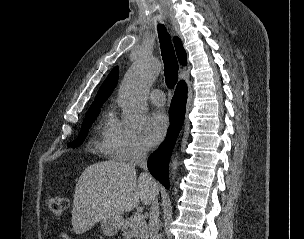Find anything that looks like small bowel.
<instances>
[{
  "instance_id": "small-bowel-1",
  "label": "small bowel",
  "mask_w": 304,
  "mask_h": 239,
  "mask_svg": "<svg viewBox=\"0 0 304 239\" xmlns=\"http://www.w3.org/2000/svg\"><path fill=\"white\" fill-rule=\"evenodd\" d=\"M59 237H60V239H71L70 236L66 233H60Z\"/></svg>"
}]
</instances>
